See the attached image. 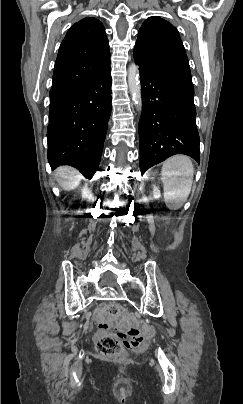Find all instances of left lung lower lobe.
Segmentation results:
<instances>
[{
	"instance_id": "0a47b994",
	"label": "left lung lower lobe",
	"mask_w": 243,
	"mask_h": 404,
	"mask_svg": "<svg viewBox=\"0 0 243 404\" xmlns=\"http://www.w3.org/2000/svg\"><path fill=\"white\" fill-rule=\"evenodd\" d=\"M143 111L139 122L141 173L175 154L200 162L191 78L164 74L140 64Z\"/></svg>"
}]
</instances>
